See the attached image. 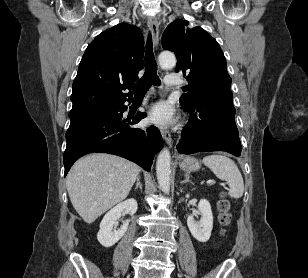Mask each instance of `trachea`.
Listing matches in <instances>:
<instances>
[{
	"instance_id": "trachea-1",
	"label": "trachea",
	"mask_w": 308,
	"mask_h": 278,
	"mask_svg": "<svg viewBox=\"0 0 308 278\" xmlns=\"http://www.w3.org/2000/svg\"><path fill=\"white\" fill-rule=\"evenodd\" d=\"M145 73L143 77L133 86L134 95H140L147 92L151 85L159 86L161 81L157 75V64L153 54L152 38L148 36L146 43V54H145Z\"/></svg>"
}]
</instances>
